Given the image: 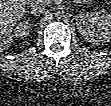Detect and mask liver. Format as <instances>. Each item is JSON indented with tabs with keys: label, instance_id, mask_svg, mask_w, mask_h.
Wrapping results in <instances>:
<instances>
[{
	"label": "liver",
	"instance_id": "obj_1",
	"mask_svg": "<svg viewBox=\"0 0 111 106\" xmlns=\"http://www.w3.org/2000/svg\"><path fill=\"white\" fill-rule=\"evenodd\" d=\"M25 0L0 1V49L8 48L13 40L12 31L25 12Z\"/></svg>",
	"mask_w": 111,
	"mask_h": 106
}]
</instances>
